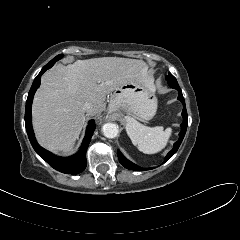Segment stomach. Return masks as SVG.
<instances>
[{
    "label": "stomach",
    "instance_id": "obj_1",
    "mask_svg": "<svg viewBox=\"0 0 240 240\" xmlns=\"http://www.w3.org/2000/svg\"><path fill=\"white\" fill-rule=\"evenodd\" d=\"M110 112H126L142 121L150 120L157 111V98L154 85L146 81H130L111 94Z\"/></svg>",
    "mask_w": 240,
    "mask_h": 240
}]
</instances>
